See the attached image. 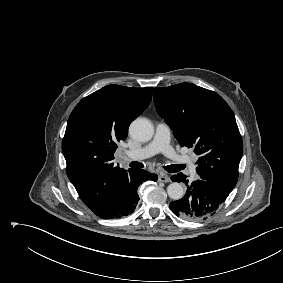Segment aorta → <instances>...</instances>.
Wrapping results in <instances>:
<instances>
[{"instance_id": "aorta-1", "label": "aorta", "mask_w": 283, "mask_h": 283, "mask_svg": "<svg viewBox=\"0 0 283 283\" xmlns=\"http://www.w3.org/2000/svg\"><path fill=\"white\" fill-rule=\"evenodd\" d=\"M129 134L137 141L147 142L154 134L152 123L145 118L135 119L129 127ZM168 196L173 200H179L184 195L183 186L178 182H173L167 187Z\"/></svg>"}]
</instances>
